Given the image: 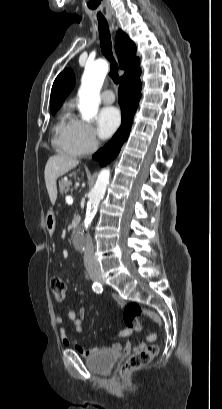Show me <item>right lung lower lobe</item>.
<instances>
[{
    "instance_id": "right-lung-lower-lobe-1",
    "label": "right lung lower lobe",
    "mask_w": 222,
    "mask_h": 409,
    "mask_svg": "<svg viewBox=\"0 0 222 409\" xmlns=\"http://www.w3.org/2000/svg\"><path fill=\"white\" fill-rule=\"evenodd\" d=\"M139 74L120 82L119 104L122 110V124L113 138L93 158L99 160L102 166L111 162L119 153L121 146L127 140L134 113L141 97V82Z\"/></svg>"
}]
</instances>
